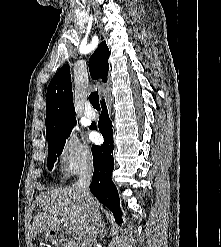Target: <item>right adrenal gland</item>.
I'll list each match as a JSON object with an SVG mask.
<instances>
[{
	"mask_svg": "<svg viewBox=\"0 0 221 247\" xmlns=\"http://www.w3.org/2000/svg\"><path fill=\"white\" fill-rule=\"evenodd\" d=\"M98 232H99L100 239H103L105 236V233H106V228H105L104 222H100Z\"/></svg>",
	"mask_w": 221,
	"mask_h": 247,
	"instance_id": "2a0ac1e0",
	"label": "right adrenal gland"
}]
</instances>
